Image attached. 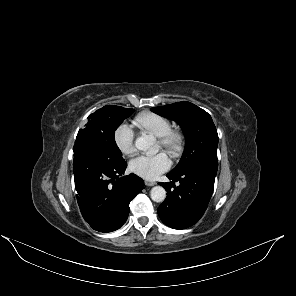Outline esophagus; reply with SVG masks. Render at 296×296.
I'll use <instances>...</instances> for the list:
<instances>
[{
  "label": "esophagus",
  "instance_id": "esophagus-1",
  "mask_svg": "<svg viewBox=\"0 0 296 296\" xmlns=\"http://www.w3.org/2000/svg\"><path fill=\"white\" fill-rule=\"evenodd\" d=\"M156 183L153 181H145L146 186H154Z\"/></svg>",
  "mask_w": 296,
  "mask_h": 296
}]
</instances>
